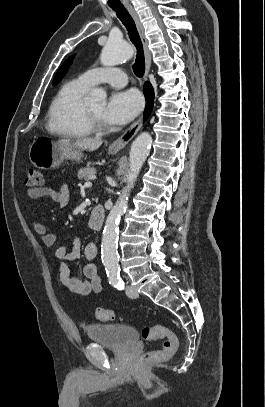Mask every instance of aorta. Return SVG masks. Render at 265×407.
Listing matches in <instances>:
<instances>
[{
    "instance_id": "1",
    "label": "aorta",
    "mask_w": 265,
    "mask_h": 407,
    "mask_svg": "<svg viewBox=\"0 0 265 407\" xmlns=\"http://www.w3.org/2000/svg\"><path fill=\"white\" fill-rule=\"evenodd\" d=\"M133 56V48L122 39L110 38L103 47L100 60L104 66H114L129 60ZM106 99L103 90L96 89L87 97L88 104L102 103ZM152 144L149 133H141L132 143L129 155L128 186L122 191L115 205L106 219L101 245V258L109 276L119 273L117 240L119 233V221L126 211L130 188L134 185Z\"/></svg>"
}]
</instances>
